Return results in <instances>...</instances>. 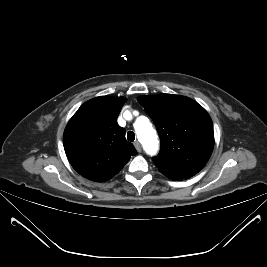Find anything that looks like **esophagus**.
I'll list each match as a JSON object with an SVG mask.
<instances>
[{
  "instance_id": "34e87169",
  "label": "esophagus",
  "mask_w": 267,
  "mask_h": 267,
  "mask_svg": "<svg viewBox=\"0 0 267 267\" xmlns=\"http://www.w3.org/2000/svg\"><path fill=\"white\" fill-rule=\"evenodd\" d=\"M134 146H135V148H136V150H137L138 152H141V151H142L141 145H140V143H139L138 141H136V142L134 143Z\"/></svg>"
}]
</instances>
